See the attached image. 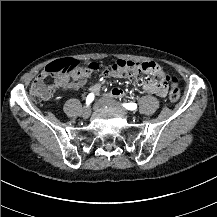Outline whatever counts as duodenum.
Here are the masks:
<instances>
[{
    "label": "duodenum",
    "mask_w": 217,
    "mask_h": 217,
    "mask_svg": "<svg viewBox=\"0 0 217 217\" xmlns=\"http://www.w3.org/2000/svg\"><path fill=\"white\" fill-rule=\"evenodd\" d=\"M92 90H94L95 92H99L101 90V86L99 84H95L94 86H92Z\"/></svg>",
    "instance_id": "obj_1"
}]
</instances>
